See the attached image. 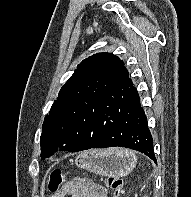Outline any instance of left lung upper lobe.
Returning <instances> with one entry per match:
<instances>
[{"label":"left lung upper lobe","instance_id":"5c2ea615","mask_svg":"<svg viewBox=\"0 0 191 197\" xmlns=\"http://www.w3.org/2000/svg\"><path fill=\"white\" fill-rule=\"evenodd\" d=\"M129 79L123 61L113 54L97 53L83 60L61 88L44 119L40 138L41 158L45 159L58 150L72 151L64 130L70 127L76 114L102 92Z\"/></svg>","mask_w":191,"mask_h":197}]
</instances>
